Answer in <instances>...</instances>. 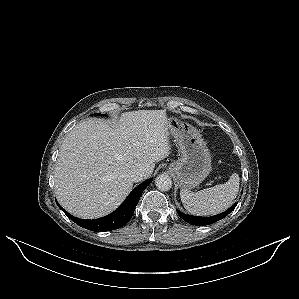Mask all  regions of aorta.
Returning a JSON list of instances; mask_svg holds the SVG:
<instances>
[{"label": "aorta", "mask_w": 299, "mask_h": 299, "mask_svg": "<svg viewBox=\"0 0 299 299\" xmlns=\"http://www.w3.org/2000/svg\"><path fill=\"white\" fill-rule=\"evenodd\" d=\"M155 185L161 191H168L172 187V180L169 175L161 174L156 177Z\"/></svg>", "instance_id": "obj_1"}]
</instances>
